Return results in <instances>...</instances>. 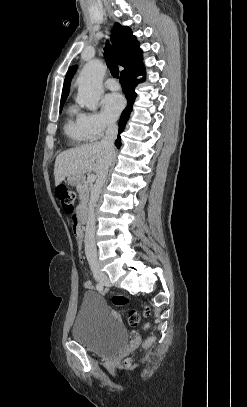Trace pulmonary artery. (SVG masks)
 I'll use <instances>...</instances> for the list:
<instances>
[{
    "mask_svg": "<svg viewBox=\"0 0 247 407\" xmlns=\"http://www.w3.org/2000/svg\"><path fill=\"white\" fill-rule=\"evenodd\" d=\"M105 87L109 90H118L120 85L116 80L109 78L105 81Z\"/></svg>",
    "mask_w": 247,
    "mask_h": 407,
    "instance_id": "obj_1",
    "label": "pulmonary artery"
}]
</instances>
